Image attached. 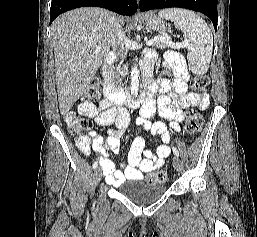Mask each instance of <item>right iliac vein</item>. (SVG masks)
Wrapping results in <instances>:
<instances>
[{
  "instance_id": "right-iliac-vein-1",
  "label": "right iliac vein",
  "mask_w": 257,
  "mask_h": 237,
  "mask_svg": "<svg viewBox=\"0 0 257 237\" xmlns=\"http://www.w3.org/2000/svg\"><path fill=\"white\" fill-rule=\"evenodd\" d=\"M95 183H98L102 178V170L100 167L96 168L94 172Z\"/></svg>"
}]
</instances>
